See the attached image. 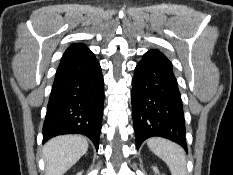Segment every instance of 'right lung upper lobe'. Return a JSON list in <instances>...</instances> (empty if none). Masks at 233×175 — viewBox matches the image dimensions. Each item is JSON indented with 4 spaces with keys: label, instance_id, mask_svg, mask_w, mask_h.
<instances>
[{
    "label": "right lung upper lobe",
    "instance_id": "obj_1",
    "mask_svg": "<svg viewBox=\"0 0 233 175\" xmlns=\"http://www.w3.org/2000/svg\"><path fill=\"white\" fill-rule=\"evenodd\" d=\"M89 51L90 50L84 44H81V43L72 44L65 51L64 55L62 56L61 62L73 59V58L78 57L80 55H83Z\"/></svg>",
    "mask_w": 233,
    "mask_h": 175
}]
</instances>
